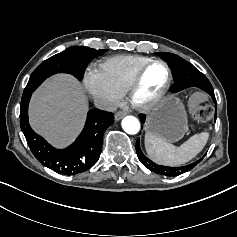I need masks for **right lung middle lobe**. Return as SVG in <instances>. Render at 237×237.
Returning <instances> with one entry per match:
<instances>
[{
	"label": "right lung middle lobe",
	"mask_w": 237,
	"mask_h": 237,
	"mask_svg": "<svg viewBox=\"0 0 237 237\" xmlns=\"http://www.w3.org/2000/svg\"><path fill=\"white\" fill-rule=\"evenodd\" d=\"M106 51L107 49L95 50L83 46L69 47L43 61L33 71L24 92L32 93L46 78L56 73H70L81 80L88 63Z\"/></svg>",
	"instance_id": "1"
}]
</instances>
